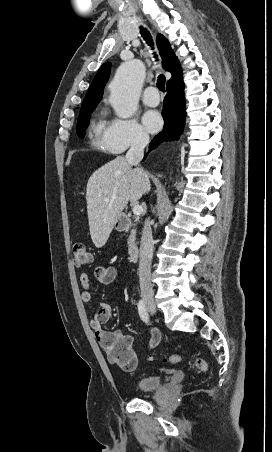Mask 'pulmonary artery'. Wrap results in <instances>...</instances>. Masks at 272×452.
I'll use <instances>...</instances> for the list:
<instances>
[{"mask_svg":"<svg viewBox=\"0 0 272 452\" xmlns=\"http://www.w3.org/2000/svg\"><path fill=\"white\" fill-rule=\"evenodd\" d=\"M143 102L148 106H157L160 102L157 89L153 86H148L142 96Z\"/></svg>","mask_w":272,"mask_h":452,"instance_id":"pulmonary-artery-1","label":"pulmonary artery"}]
</instances>
